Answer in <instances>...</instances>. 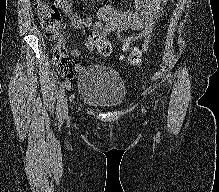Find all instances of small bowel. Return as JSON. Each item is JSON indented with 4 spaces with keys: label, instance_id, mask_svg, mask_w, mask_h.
Segmentation results:
<instances>
[{
    "label": "small bowel",
    "instance_id": "small-bowel-1",
    "mask_svg": "<svg viewBox=\"0 0 219 192\" xmlns=\"http://www.w3.org/2000/svg\"><path fill=\"white\" fill-rule=\"evenodd\" d=\"M169 0H132V8L118 10L110 5L100 7L95 15H81L72 9L70 0H55V4L69 18L70 27L78 30L84 37V48L87 53L96 49V40L105 38L110 33H118L130 30L137 34L132 37H124V47L131 45L135 40H143L139 52L145 54L149 49V42L153 37L154 26L163 13V6ZM82 49L71 51L72 56H78Z\"/></svg>",
    "mask_w": 219,
    "mask_h": 192
}]
</instances>
